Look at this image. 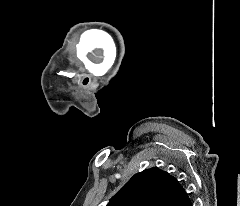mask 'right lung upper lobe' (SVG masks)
Wrapping results in <instances>:
<instances>
[{
    "label": "right lung upper lobe",
    "mask_w": 240,
    "mask_h": 206,
    "mask_svg": "<svg viewBox=\"0 0 240 206\" xmlns=\"http://www.w3.org/2000/svg\"><path fill=\"white\" fill-rule=\"evenodd\" d=\"M190 202L176 178L154 167L134 175L107 206H188Z\"/></svg>",
    "instance_id": "cb5924a9"
}]
</instances>
